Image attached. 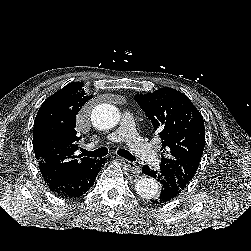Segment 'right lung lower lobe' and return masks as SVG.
Here are the masks:
<instances>
[{
	"label": "right lung lower lobe",
	"mask_w": 251,
	"mask_h": 251,
	"mask_svg": "<svg viewBox=\"0 0 251 251\" xmlns=\"http://www.w3.org/2000/svg\"><path fill=\"white\" fill-rule=\"evenodd\" d=\"M104 164L105 160L101 158L92 166L70 171L63 176L45 180V182L50 190L59 196L79 197L90 189Z\"/></svg>",
	"instance_id": "obj_1"
}]
</instances>
